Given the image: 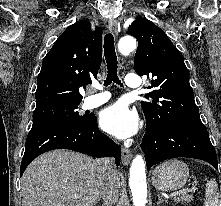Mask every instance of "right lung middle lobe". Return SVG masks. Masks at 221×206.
Wrapping results in <instances>:
<instances>
[{"instance_id":"right-lung-middle-lobe-1","label":"right lung middle lobe","mask_w":221,"mask_h":206,"mask_svg":"<svg viewBox=\"0 0 221 206\" xmlns=\"http://www.w3.org/2000/svg\"><path fill=\"white\" fill-rule=\"evenodd\" d=\"M79 103L49 104L36 107L32 128L55 123H84L91 115H79Z\"/></svg>"}]
</instances>
